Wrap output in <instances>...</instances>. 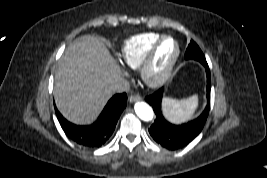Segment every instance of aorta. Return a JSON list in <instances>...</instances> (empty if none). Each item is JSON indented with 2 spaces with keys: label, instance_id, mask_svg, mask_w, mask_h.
<instances>
[{
  "label": "aorta",
  "instance_id": "aorta-1",
  "mask_svg": "<svg viewBox=\"0 0 267 178\" xmlns=\"http://www.w3.org/2000/svg\"><path fill=\"white\" fill-rule=\"evenodd\" d=\"M134 109L137 116L143 121H151L154 118L153 109L145 102H137Z\"/></svg>",
  "mask_w": 267,
  "mask_h": 178
}]
</instances>
